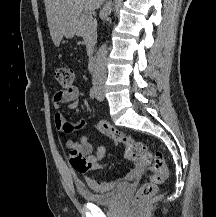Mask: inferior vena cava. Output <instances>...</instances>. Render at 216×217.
<instances>
[{"label":"inferior vena cava","mask_w":216,"mask_h":217,"mask_svg":"<svg viewBox=\"0 0 216 217\" xmlns=\"http://www.w3.org/2000/svg\"><path fill=\"white\" fill-rule=\"evenodd\" d=\"M111 2H107L103 7L102 15L103 18L106 19L108 15L111 13ZM106 56L107 50L106 45H102L97 52V58L95 61L92 82L94 86L103 85L106 81L107 72H106Z\"/></svg>","instance_id":"1"}]
</instances>
